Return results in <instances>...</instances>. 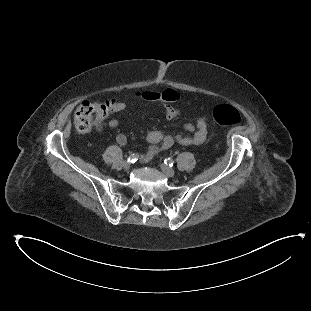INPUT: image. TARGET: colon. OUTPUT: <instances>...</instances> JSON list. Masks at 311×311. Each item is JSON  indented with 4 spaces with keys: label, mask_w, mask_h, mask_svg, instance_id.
<instances>
[{
    "label": "colon",
    "mask_w": 311,
    "mask_h": 311,
    "mask_svg": "<svg viewBox=\"0 0 311 311\" xmlns=\"http://www.w3.org/2000/svg\"><path fill=\"white\" fill-rule=\"evenodd\" d=\"M141 96L153 102L176 101L178 93L175 90L167 89L164 91H145ZM111 106L106 101L95 103L83 102L76 109L74 121L79 133H87L95 125L96 120L103 119L108 114ZM214 121L219 125L235 126L240 124L241 117L236 108L228 104H221L212 111Z\"/></svg>",
    "instance_id": "1"
}]
</instances>
